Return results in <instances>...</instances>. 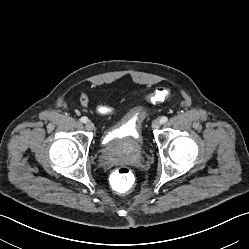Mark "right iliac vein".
<instances>
[{
  "mask_svg": "<svg viewBox=\"0 0 249 249\" xmlns=\"http://www.w3.org/2000/svg\"><path fill=\"white\" fill-rule=\"evenodd\" d=\"M85 128H86L88 131H93V130H95V125H94L91 121H88V122H86V124H85Z\"/></svg>",
  "mask_w": 249,
  "mask_h": 249,
  "instance_id": "1",
  "label": "right iliac vein"
}]
</instances>
